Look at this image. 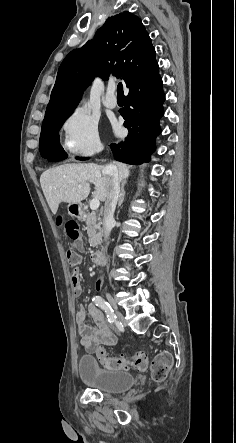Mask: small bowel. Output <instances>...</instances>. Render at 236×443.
Instances as JSON below:
<instances>
[{"label":"small bowel","mask_w":236,"mask_h":443,"mask_svg":"<svg viewBox=\"0 0 236 443\" xmlns=\"http://www.w3.org/2000/svg\"><path fill=\"white\" fill-rule=\"evenodd\" d=\"M76 247L79 250L84 249V245L81 239L76 241ZM77 274V282H73V294L79 296L82 292L80 285L78 272L74 270ZM72 280V278H71ZM103 287L102 280L98 281L96 284L97 291H100ZM89 314L96 329L89 327L85 324L86 314ZM76 324L79 328L81 335V344L87 351H95L96 347L100 342L105 345L111 346L116 343V336L111 329L110 322L106 315L101 312L94 304H90L87 308L81 305L76 313Z\"/></svg>","instance_id":"small-bowel-1"}]
</instances>
